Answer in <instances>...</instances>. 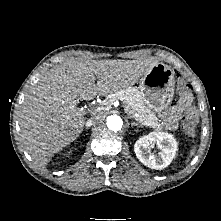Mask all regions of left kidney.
Segmentation results:
<instances>
[{
    "label": "left kidney",
    "mask_w": 221,
    "mask_h": 221,
    "mask_svg": "<svg viewBox=\"0 0 221 221\" xmlns=\"http://www.w3.org/2000/svg\"><path fill=\"white\" fill-rule=\"evenodd\" d=\"M160 149L158 155L150 152L151 145ZM136 157L145 166L160 170L167 167L174 159L177 151L175 138L167 132H151L140 137L134 144Z\"/></svg>",
    "instance_id": "5707ae66"
}]
</instances>
